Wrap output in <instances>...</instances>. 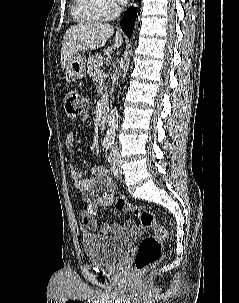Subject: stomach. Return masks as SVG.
<instances>
[{"label": "stomach", "mask_w": 239, "mask_h": 303, "mask_svg": "<svg viewBox=\"0 0 239 303\" xmlns=\"http://www.w3.org/2000/svg\"><path fill=\"white\" fill-rule=\"evenodd\" d=\"M65 73L73 80L84 78L86 75V62L84 57L79 53L72 55L66 62Z\"/></svg>", "instance_id": "0dacf381"}]
</instances>
